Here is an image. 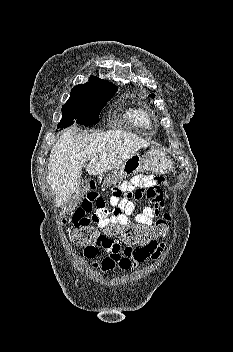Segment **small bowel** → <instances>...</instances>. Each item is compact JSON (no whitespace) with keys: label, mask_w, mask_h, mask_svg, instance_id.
Masks as SVG:
<instances>
[{"label":"small bowel","mask_w":233,"mask_h":352,"mask_svg":"<svg viewBox=\"0 0 233 352\" xmlns=\"http://www.w3.org/2000/svg\"><path fill=\"white\" fill-rule=\"evenodd\" d=\"M82 202L75 210L72 221L74 228H78L86 222H96L98 227L106 231L109 227H125L130 225L149 226L154 223L164 207V181L150 175H137L120 186L110 191L109 204L97 192L93 181H85L81 188ZM145 197L150 205L143 208L134 220L131 216L135 212L132 199ZM163 249L162 244L153 241L147 245L121 247L118 237H112L105 242L92 247L84 248L85 258L93 260L95 267L103 272L114 268L128 270L147 259H156ZM101 251L107 255L98 259Z\"/></svg>","instance_id":"c3829d8e"}]
</instances>
